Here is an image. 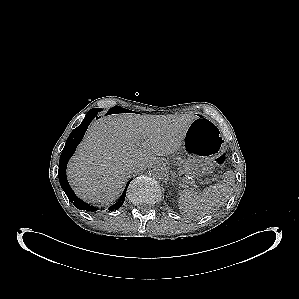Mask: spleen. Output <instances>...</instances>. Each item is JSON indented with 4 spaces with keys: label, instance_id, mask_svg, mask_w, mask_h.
Segmentation results:
<instances>
[{
    "label": "spleen",
    "instance_id": "3e777b00",
    "mask_svg": "<svg viewBox=\"0 0 299 299\" xmlns=\"http://www.w3.org/2000/svg\"><path fill=\"white\" fill-rule=\"evenodd\" d=\"M235 176L228 172L222 183H217L197 194L192 190H184L178 197V208L187 217L201 219L225 204L232 193Z\"/></svg>",
    "mask_w": 299,
    "mask_h": 299
}]
</instances>
